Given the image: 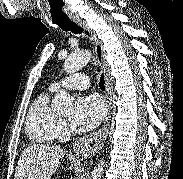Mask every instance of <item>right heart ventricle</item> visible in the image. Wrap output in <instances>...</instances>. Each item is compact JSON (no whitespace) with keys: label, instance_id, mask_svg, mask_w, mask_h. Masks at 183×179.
Wrapping results in <instances>:
<instances>
[{"label":"right heart ventricle","instance_id":"1","mask_svg":"<svg viewBox=\"0 0 183 179\" xmlns=\"http://www.w3.org/2000/svg\"><path fill=\"white\" fill-rule=\"evenodd\" d=\"M58 121V114L50 106V92H42L29 109L26 132L36 142H50L57 133Z\"/></svg>","mask_w":183,"mask_h":179}]
</instances>
